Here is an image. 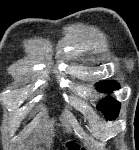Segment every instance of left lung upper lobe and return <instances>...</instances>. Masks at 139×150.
<instances>
[{"label": "left lung upper lobe", "instance_id": "left-lung-upper-lobe-1", "mask_svg": "<svg viewBox=\"0 0 139 150\" xmlns=\"http://www.w3.org/2000/svg\"><path fill=\"white\" fill-rule=\"evenodd\" d=\"M97 90L101 92H112L119 89L117 82L112 80L101 81L96 86ZM98 110H101L106 118L113 120L117 117L120 109V103L111 97H106L100 101L97 106Z\"/></svg>", "mask_w": 139, "mask_h": 150}]
</instances>
